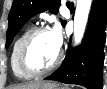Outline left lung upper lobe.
I'll list each match as a JSON object with an SVG mask.
<instances>
[{
  "instance_id": "5c2ea615",
  "label": "left lung upper lobe",
  "mask_w": 107,
  "mask_h": 89,
  "mask_svg": "<svg viewBox=\"0 0 107 89\" xmlns=\"http://www.w3.org/2000/svg\"><path fill=\"white\" fill-rule=\"evenodd\" d=\"M60 0H14L8 16L6 48H8L22 26L35 14L51 9L58 12ZM66 21H62L64 26Z\"/></svg>"
}]
</instances>
